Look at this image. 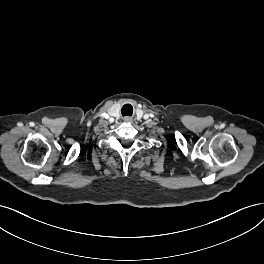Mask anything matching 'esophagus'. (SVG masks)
Listing matches in <instances>:
<instances>
[{
    "mask_svg": "<svg viewBox=\"0 0 264 264\" xmlns=\"http://www.w3.org/2000/svg\"><path fill=\"white\" fill-rule=\"evenodd\" d=\"M126 121H130V119H125Z\"/></svg>",
    "mask_w": 264,
    "mask_h": 264,
    "instance_id": "1",
    "label": "esophagus"
}]
</instances>
